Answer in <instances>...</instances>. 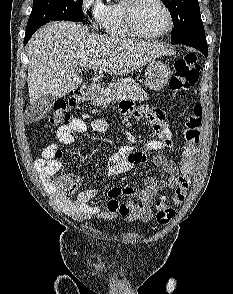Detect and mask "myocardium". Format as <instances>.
Listing matches in <instances>:
<instances>
[{"mask_svg": "<svg viewBox=\"0 0 233 294\" xmlns=\"http://www.w3.org/2000/svg\"><path fill=\"white\" fill-rule=\"evenodd\" d=\"M141 1L142 0H126L125 2V7H124L125 20L129 30L135 36H138L144 39H158L170 33L174 26V18H173L171 9L169 8V6L164 0H156V2H158L162 6L164 11L166 12V15L168 18L167 28L164 31L157 34H148L140 29L136 20V9Z\"/></svg>", "mask_w": 233, "mask_h": 294, "instance_id": "myocardium-1", "label": "myocardium"}]
</instances>
